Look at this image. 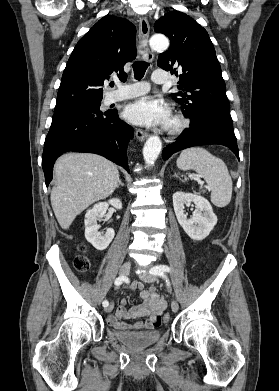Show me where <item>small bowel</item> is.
I'll list each match as a JSON object with an SVG mask.
<instances>
[{
  "instance_id": "1",
  "label": "small bowel",
  "mask_w": 279,
  "mask_h": 391,
  "mask_svg": "<svg viewBox=\"0 0 279 391\" xmlns=\"http://www.w3.org/2000/svg\"><path fill=\"white\" fill-rule=\"evenodd\" d=\"M132 289L140 290L143 304L127 308L126 299H121L114 314L108 316V323L116 329H153L161 324L162 314L167 307L165 299L161 298L154 288L146 289L141 282H134ZM144 318V321L127 323V320Z\"/></svg>"
}]
</instances>
